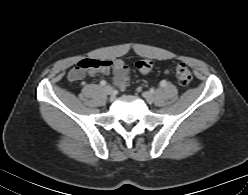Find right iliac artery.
<instances>
[{
    "label": "right iliac artery",
    "mask_w": 248,
    "mask_h": 195,
    "mask_svg": "<svg viewBox=\"0 0 248 195\" xmlns=\"http://www.w3.org/2000/svg\"><path fill=\"white\" fill-rule=\"evenodd\" d=\"M100 84H101V86H105V85H106V81H105V80H102V81L100 82Z\"/></svg>",
    "instance_id": "82829eb1"
}]
</instances>
